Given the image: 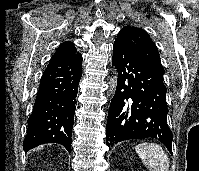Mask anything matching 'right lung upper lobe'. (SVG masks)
I'll return each mask as SVG.
<instances>
[{
  "instance_id": "obj_1",
  "label": "right lung upper lobe",
  "mask_w": 199,
  "mask_h": 171,
  "mask_svg": "<svg viewBox=\"0 0 199 171\" xmlns=\"http://www.w3.org/2000/svg\"><path fill=\"white\" fill-rule=\"evenodd\" d=\"M79 55L74 44L70 41L63 42L57 49L52 58H71Z\"/></svg>"
}]
</instances>
